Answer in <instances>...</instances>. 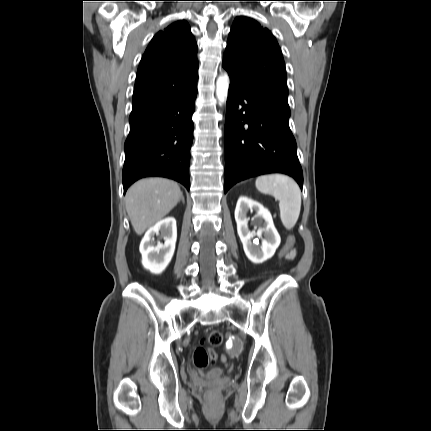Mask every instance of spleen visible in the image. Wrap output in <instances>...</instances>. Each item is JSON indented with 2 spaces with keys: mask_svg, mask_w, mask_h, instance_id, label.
I'll return each instance as SVG.
<instances>
[{
  "mask_svg": "<svg viewBox=\"0 0 431 431\" xmlns=\"http://www.w3.org/2000/svg\"><path fill=\"white\" fill-rule=\"evenodd\" d=\"M255 186L261 193L270 194L279 201L281 221L287 230H291L301 209V191L297 183L288 176L271 174L259 176Z\"/></svg>",
  "mask_w": 431,
  "mask_h": 431,
  "instance_id": "1",
  "label": "spleen"
}]
</instances>
